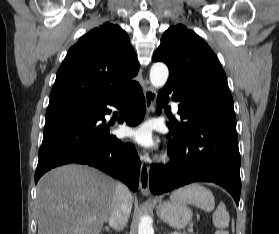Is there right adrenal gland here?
I'll use <instances>...</instances> for the list:
<instances>
[{
  "mask_svg": "<svg viewBox=\"0 0 279 234\" xmlns=\"http://www.w3.org/2000/svg\"><path fill=\"white\" fill-rule=\"evenodd\" d=\"M103 230L107 231V232H111L112 230H110V228L107 226L105 227Z\"/></svg>",
  "mask_w": 279,
  "mask_h": 234,
  "instance_id": "2a0ac1e0",
  "label": "right adrenal gland"
}]
</instances>
